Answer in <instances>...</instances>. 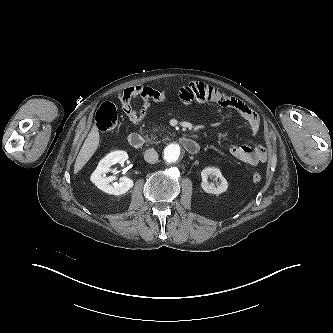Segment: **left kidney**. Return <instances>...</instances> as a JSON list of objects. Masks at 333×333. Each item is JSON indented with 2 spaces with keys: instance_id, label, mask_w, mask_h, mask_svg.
I'll return each instance as SVG.
<instances>
[{
  "instance_id": "obj_1",
  "label": "left kidney",
  "mask_w": 333,
  "mask_h": 333,
  "mask_svg": "<svg viewBox=\"0 0 333 333\" xmlns=\"http://www.w3.org/2000/svg\"><path fill=\"white\" fill-rule=\"evenodd\" d=\"M202 182L201 188L209 194L219 195L225 192L228 189V182L222 176L221 171L216 167H206L201 172ZM208 177H213L216 180L219 178L220 183L219 185L215 186L213 183L208 182Z\"/></svg>"
}]
</instances>
